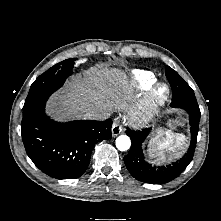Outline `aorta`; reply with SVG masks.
Returning <instances> with one entry per match:
<instances>
[{
	"mask_svg": "<svg viewBox=\"0 0 221 221\" xmlns=\"http://www.w3.org/2000/svg\"><path fill=\"white\" fill-rule=\"evenodd\" d=\"M131 146V140L127 135H120L116 139V147L120 151H126Z\"/></svg>",
	"mask_w": 221,
	"mask_h": 221,
	"instance_id": "aorta-1",
	"label": "aorta"
}]
</instances>
